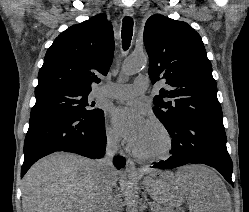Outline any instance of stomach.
<instances>
[{
    "mask_svg": "<svg viewBox=\"0 0 249 212\" xmlns=\"http://www.w3.org/2000/svg\"><path fill=\"white\" fill-rule=\"evenodd\" d=\"M172 171L149 170V175L142 176L145 193H151V198H181L183 184H176ZM156 204H181V199H156Z\"/></svg>",
    "mask_w": 249,
    "mask_h": 212,
    "instance_id": "obj_1",
    "label": "stomach"
}]
</instances>
